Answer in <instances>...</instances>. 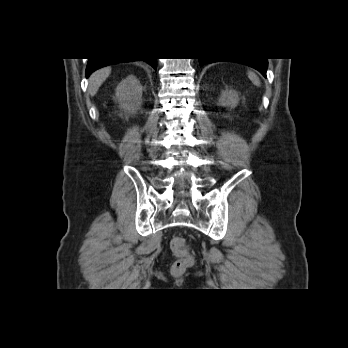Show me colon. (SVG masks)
<instances>
[{
  "label": "colon",
  "mask_w": 348,
  "mask_h": 348,
  "mask_svg": "<svg viewBox=\"0 0 348 348\" xmlns=\"http://www.w3.org/2000/svg\"><path fill=\"white\" fill-rule=\"evenodd\" d=\"M170 249L177 258L172 265V273L174 275H180L193 264L189 247L184 238L174 237L170 241Z\"/></svg>",
  "instance_id": "1"
}]
</instances>
